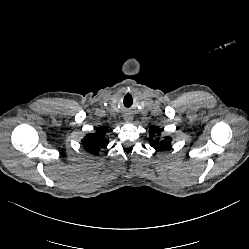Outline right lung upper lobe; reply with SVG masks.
<instances>
[{"mask_svg":"<svg viewBox=\"0 0 249 249\" xmlns=\"http://www.w3.org/2000/svg\"><path fill=\"white\" fill-rule=\"evenodd\" d=\"M105 134L106 128L104 126L100 129L97 128V132L94 134H87L82 141L84 149L93 155H98L101 148L108 144Z\"/></svg>","mask_w":249,"mask_h":249,"instance_id":"right-lung-upper-lobe-1","label":"right lung upper lobe"}]
</instances>
